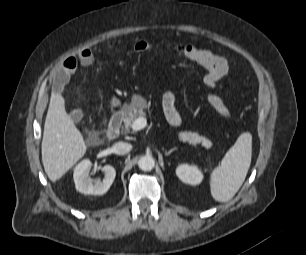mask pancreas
<instances>
[{
    "label": "pancreas",
    "instance_id": "cf45deb5",
    "mask_svg": "<svg viewBox=\"0 0 306 255\" xmlns=\"http://www.w3.org/2000/svg\"><path fill=\"white\" fill-rule=\"evenodd\" d=\"M146 102L142 100L140 103H133L130 105H125L122 109L124 113V127L122 129L123 133H129L131 125L135 119L142 116L145 117L146 113L144 112V108H146ZM178 138L180 141L189 142L191 144H199L201 143L204 147L210 148L212 143L210 140L208 142H203V136H200L197 132L191 131H181L178 133Z\"/></svg>",
    "mask_w": 306,
    "mask_h": 255
}]
</instances>
